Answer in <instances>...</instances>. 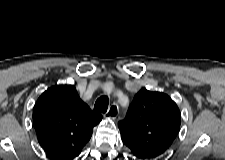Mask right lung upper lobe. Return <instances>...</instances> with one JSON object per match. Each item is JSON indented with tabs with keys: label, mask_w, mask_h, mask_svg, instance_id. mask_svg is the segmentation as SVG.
I'll use <instances>...</instances> for the list:
<instances>
[{
	"label": "right lung upper lobe",
	"mask_w": 225,
	"mask_h": 160,
	"mask_svg": "<svg viewBox=\"0 0 225 160\" xmlns=\"http://www.w3.org/2000/svg\"><path fill=\"white\" fill-rule=\"evenodd\" d=\"M101 119L81 101L73 85L47 89L33 111L38 142L55 160L76 159Z\"/></svg>",
	"instance_id": "1"
}]
</instances>
